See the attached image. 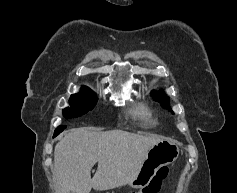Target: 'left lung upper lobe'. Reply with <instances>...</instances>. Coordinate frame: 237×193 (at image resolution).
<instances>
[{
	"label": "left lung upper lobe",
	"mask_w": 237,
	"mask_h": 193,
	"mask_svg": "<svg viewBox=\"0 0 237 193\" xmlns=\"http://www.w3.org/2000/svg\"><path fill=\"white\" fill-rule=\"evenodd\" d=\"M153 94V98L156 101H159L163 106L167 107L169 110H171V108L169 107V97H167L165 94H163L162 92L160 93H156V92H152Z\"/></svg>",
	"instance_id": "5c2ea615"
}]
</instances>
